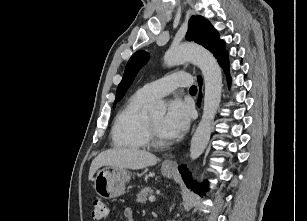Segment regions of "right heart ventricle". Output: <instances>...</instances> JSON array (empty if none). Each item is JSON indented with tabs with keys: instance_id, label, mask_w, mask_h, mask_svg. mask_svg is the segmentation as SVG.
<instances>
[{
	"instance_id": "e07e8e85",
	"label": "right heart ventricle",
	"mask_w": 307,
	"mask_h": 221,
	"mask_svg": "<svg viewBox=\"0 0 307 221\" xmlns=\"http://www.w3.org/2000/svg\"><path fill=\"white\" fill-rule=\"evenodd\" d=\"M153 99L141 90L134 93L118 112L112 130L111 139L115 148L142 149L147 147L146 107Z\"/></svg>"
}]
</instances>
